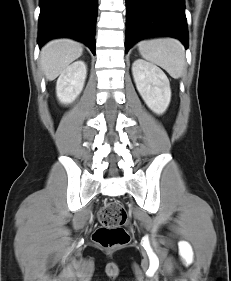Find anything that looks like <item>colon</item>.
Listing matches in <instances>:
<instances>
[{
  "label": "colon",
  "instance_id": "5ec220e1",
  "mask_svg": "<svg viewBox=\"0 0 231 281\" xmlns=\"http://www.w3.org/2000/svg\"><path fill=\"white\" fill-rule=\"evenodd\" d=\"M127 218L124 207L118 202H109L100 211V227L93 234L95 243L106 249L119 248L129 241L127 231L122 227Z\"/></svg>",
  "mask_w": 231,
  "mask_h": 281
}]
</instances>
